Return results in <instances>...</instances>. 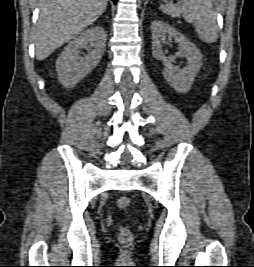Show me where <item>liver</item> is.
I'll return each instance as SVG.
<instances>
[{"instance_id": "liver-1", "label": "liver", "mask_w": 254, "mask_h": 267, "mask_svg": "<svg viewBox=\"0 0 254 267\" xmlns=\"http://www.w3.org/2000/svg\"><path fill=\"white\" fill-rule=\"evenodd\" d=\"M39 6L34 44L37 60H44L95 22L107 0H40Z\"/></svg>"}]
</instances>
